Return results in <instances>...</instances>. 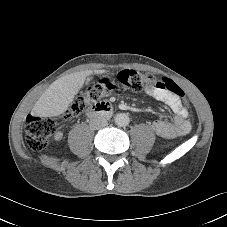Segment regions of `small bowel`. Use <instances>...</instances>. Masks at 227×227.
<instances>
[{
  "label": "small bowel",
  "instance_id": "c3829d8e",
  "mask_svg": "<svg viewBox=\"0 0 227 227\" xmlns=\"http://www.w3.org/2000/svg\"><path fill=\"white\" fill-rule=\"evenodd\" d=\"M146 93L155 100L166 104L174 113L172 121L158 119L152 123V128L158 136L173 139L189 132L191 125L187 119L188 110L177 95L166 89L165 84L156 82L155 88L146 89ZM55 138L60 140L62 133L58 132Z\"/></svg>",
  "mask_w": 227,
  "mask_h": 227
}]
</instances>
